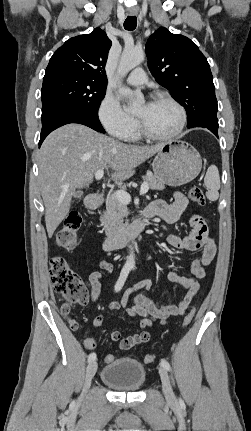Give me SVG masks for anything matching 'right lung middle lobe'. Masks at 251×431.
I'll return each mask as SVG.
<instances>
[{
    "mask_svg": "<svg viewBox=\"0 0 251 431\" xmlns=\"http://www.w3.org/2000/svg\"><path fill=\"white\" fill-rule=\"evenodd\" d=\"M106 86L107 83L64 69L46 70L41 90L42 114L58 107H71L98 116Z\"/></svg>",
    "mask_w": 251,
    "mask_h": 431,
    "instance_id": "right-lung-middle-lobe-1",
    "label": "right lung middle lobe"
}]
</instances>
